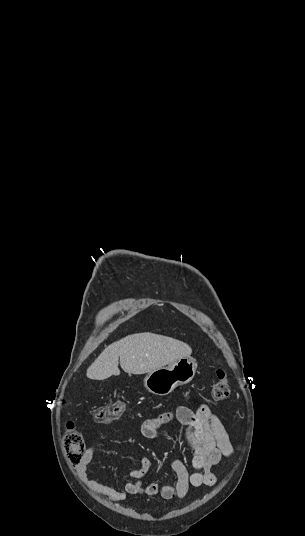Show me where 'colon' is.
<instances>
[{
    "mask_svg": "<svg viewBox=\"0 0 305 536\" xmlns=\"http://www.w3.org/2000/svg\"><path fill=\"white\" fill-rule=\"evenodd\" d=\"M229 395V380L227 377L226 370L218 367L217 369V380L212 388V400L215 403L224 401ZM124 402L117 401L108 405H100L95 408L93 416L95 420L102 424H108L109 419L114 421L118 418L124 410ZM63 444L67 446V452L65 455L66 461L69 463L70 469L76 468L75 462H81L83 455L82 450L85 444L84 435H80L77 431L74 430L72 424L68 425V430L66 435L63 437Z\"/></svg>",
    "mask_w": 305,
    "mask_h": 536,
    "instance_id": "5ec220e1",
    "label": "colon"
}]
</instances>
